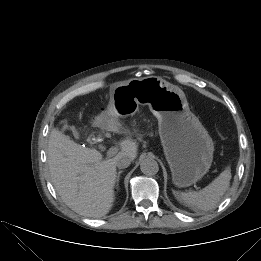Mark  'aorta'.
<instances>
[{"instance_id": "aorta-1", "label": "aorta", "mask_w": 261, "mask_h": 261, "mask_svg": "<svg viewBox=\"0 0 261 261\" xmlns=\"http://www.w3.org/2000/svg\"><path fill=\"white\" fill-rule=\"evenodd\" d=\"M142 173L146 175H155L159 171V165L153 158H145L140 163Z\"/></svg>"}]
</instances>
